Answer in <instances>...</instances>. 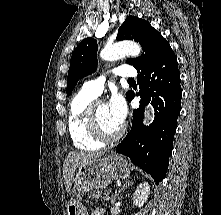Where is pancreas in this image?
I'll use <instances>...</instances> for the list:
<instances>
[{
  "instance_id": "obj_1",
  "label": "pancreas",
  "mask_w": 221,
  "mask_h": 215,
  "mask_svg": "<svg viewBox=\"0 0 221 215\" xmlns=\"http://www.w3.org/2000/svg\"><path fill=\"white\" fill-rule=\"evenodd\" d=\"M107 194H103V197L106 196ZM93 199H96L97 201L100 199L103 202L102 194L100 192L92 193L86 198V201L89 202Z\"/></svg>"
}]
</instances>
